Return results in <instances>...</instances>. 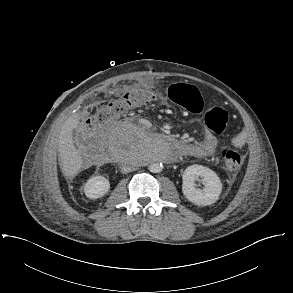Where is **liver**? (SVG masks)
<instances>
[{"instance_id": "liver-1", "label": "liver", "mask_w": 293, "mask_h": 293, "mask_svg": "<svg viewBox=\"0 0 293 293\" xmlns=\"http://www.w3.org/2000/svg\"><path fill=\"white\" fill-rule=\"evenodd\" d=\"M80 116L74 114L70 116L61 127L59 134V161L60 168L65 177H74L77 175L83 161L79 151L73 144V130L79 126Z\"/></svg>"}]
</instances>
